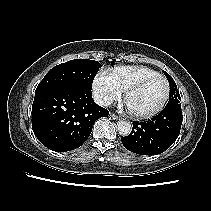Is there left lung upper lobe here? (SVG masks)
<instances>
[{
  "instance_id": "5c2ea615",
  "label": "left lung upper lobe",
  "mask_w": 211,
  "mask_h": 211,
  "mask_svg": "<svg viewBox=\"0 0 211 211\" xmlns=\"http://www.w3.org/2000/svg\"><path fill=\"white\" fill-rule=\"evenodd\" d=\"M164 74L167 77L169 85H170V96H169L168 104L166 106L180 104V100H181L180 94L173 78L165 71H164Z\"/></svg>"
}]
</instances>
